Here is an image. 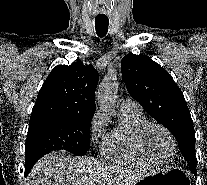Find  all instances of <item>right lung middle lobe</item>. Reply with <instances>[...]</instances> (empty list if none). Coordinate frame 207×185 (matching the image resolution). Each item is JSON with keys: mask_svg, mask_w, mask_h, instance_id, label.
Here are the masks:
<instances>
[{"mask_svg": "<svg viewBox=\"0 0 207 185\" xmlns=\"http://www.w3.org/2000/svg\"><path fill=\"white\" fill-rule=\"evenodd\" d=\"M90 126L91 121L73 117L31 115L25 145V174L41 157L53 150L86 154L90 147Z\"/></svg>", "mask_w": 207, "mask_h": 185, "instance_id": "dd1d6c3e", "label": "right lung middle lobe"}]
</instances>
